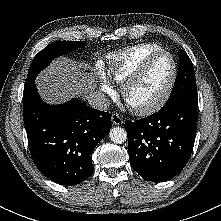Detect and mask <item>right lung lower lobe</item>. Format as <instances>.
Listing matches in <instances>:
<instances>
[{
    "label": "right lung lower lobe",
    "mask_w": 221,
    "mask_h": 221,
    "mask_svg": "<svg viewBox=\"0 0 221 221\" xmlns=\"http://www.w3.org/2000/svg\"><path fill=\"white\" fill-rule=\"evenodd\" d=\"M24 124L32 159L38 170L62 185H76L93 172L91 154L111 128V115L77 99L46 104L34 80L25 83Z\"/></svg>",
    "instance_id": "right-lung-lower-lobe-1"
}]
</instances>
